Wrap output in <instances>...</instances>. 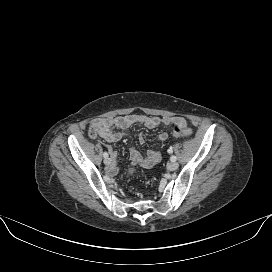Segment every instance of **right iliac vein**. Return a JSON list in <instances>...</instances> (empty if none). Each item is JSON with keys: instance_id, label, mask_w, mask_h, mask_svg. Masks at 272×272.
<instances>
[{"instance_id": "obj_1", "label": "right iliac vein", "mask_w": 272, "mask_h": 272, "mask_svg": "<svg viewBox=\"0 0 272 272\" xmlns=\"http://www.w3.org/2000/svg\"><path fill=\"white\" fill-rule=\"evenodd\" d=\"M104 163L106 164V165H109L110 164V159L107 157V158H105L104 159Z\"/></svg>"}]
</instances>
